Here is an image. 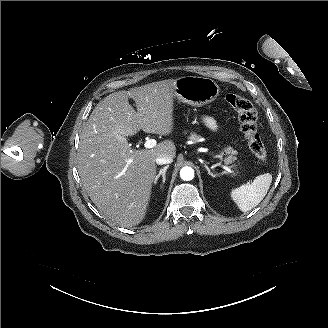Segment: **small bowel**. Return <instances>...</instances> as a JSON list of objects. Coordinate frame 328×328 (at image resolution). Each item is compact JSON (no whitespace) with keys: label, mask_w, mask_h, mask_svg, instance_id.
<instances>
[{"label":"small bowel","mask_w":328,"mask_h":328,"mask_svg":"<svg viewBox=\"0 0 328 328\" xmlns=\"http://www.w3.org/2000/svg\"><path fill=\"white\" fill-rule=\"evenodd\" d=\"M204 122H205V124L209 127V128H211V129H216L217 128V123H216V121L213 119V118H211V117H205L204 118Z\"/></svg>","instance_id":"obj_1"}]
</instances>
